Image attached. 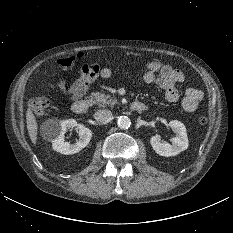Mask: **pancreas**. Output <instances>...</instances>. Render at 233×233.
<instances>
[{
  "label": "pancreas",
  "mask_w": 233,
  "mask_h": 233,
  "mask_svg": "<svg viewBox=\"0 0 233 233\" xmlns=\"http://www.w3.org/2000/svg\"><path fill=\"white\" fill-rule=\"evenodd\" d=\"M93 103L97 104L99 107H104L106 105H115L117 103V100L115 98H112L110 95H106L104 93L96 92L93 94Z\"/></svg>",
  "instance_id": "cf45deb5"
}]
</instances>
